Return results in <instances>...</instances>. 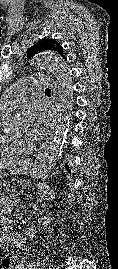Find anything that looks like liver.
<instances>
[{
    "mask_svg": "<svg viewBox=\"0 0 118 269\" xmlns=\"http://www.w3.org/2000/svg\"><path fill=\"white\" fill-rule=\"evenodd\" d=\"M21 163H23V162L16 161V160H9V161L2 160V161H0V169L1 168H8V167H11L12 165L21 164Z\"/></svg>",
    "mask_w": 118,
    "mask_h": 269,
    "instance_id": "6515ba94",
    "label": "liver"
}]
</instances>
